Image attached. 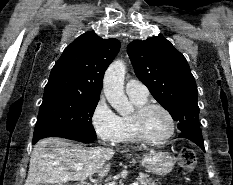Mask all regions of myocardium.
<instances>
[{
	"label": "myocardium",
	"instance_id": "1",
	"mask_svg": "<svg viewBox=\"0 0 233 185\" xmlns=\"http://www.w3.org/2000/svg\"><path fill=\"white\" fill-rule=\"evenodd\" d=\"M151 109L161 110L169 119L170 130L168 134L161 139H151L144 131L143 119L146 113ZM131 122L136 138L148 145H160L167 142L174 136L176 130V122L172 113L165 106L154 102H146L140 106H137L134 113L131 115Z\"/></svg>",
	"mask_w": 233,
	"mask_h": 185
}]
</instances>
